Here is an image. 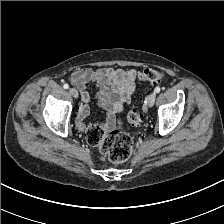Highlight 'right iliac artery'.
I'll use <instances>...</instances> for the list:
<instances>
[{"label":"right iliac artery","mask_w":224,"mask_h":224,"mask_svg":"<svg viewBox=\"0 0 224 224\" xmlns=\"http://www.w3.org/2000/svg\"><path fill=\"white\" fill-rule=\"evenodd\" d=\"M63 87H64L65 89H68V88H69V85H68V84H64Z\"/></svg>","instance_id":"obj_1"}]
</instances>
